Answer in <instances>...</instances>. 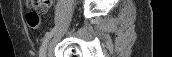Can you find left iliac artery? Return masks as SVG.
Segmentation results:
<instances>
[{
    "label": "left iliac artery",
    "instance_id": "left-iliac-artery-1",
    "mask_svg": "<svg viewBox=\"0 0 172 57\" xmlns=\"http://www.w3.org/2000/svg\"><path fill=\"white\" fill-rule=\"evenodd\" d=\"M54 30H55V28L51 29L50 31H48V32L45 34V36H44V38H43V40H42V45H41V47H40V51H39L40 57H43V55H44V53H45V46H46L48 40L51 38V36H52Z\"/></svg>",
    "mask_w": 172,
    "mask_h": 57
}]
</instances>
